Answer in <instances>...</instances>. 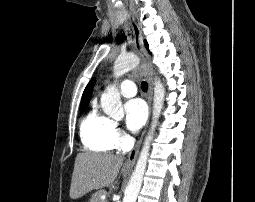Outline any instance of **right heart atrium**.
Wrapping results in <instances>:
<instances>
[{"instance_id": "d8ad5b80", "label": "right heart atrium", "mask_w": 255, "mask_h": 202, "mask_svg": "<svg viewBox=\"0 0 255 202\" xmlns=\"http://www.w3.org/2000/svg\"><path fill=\"white\" fill-rule=\"evenodd\" d=\"M112 137L116 147H123L127 142V136L117 123L113 124Z\"/></svg>"}]
</instances>
